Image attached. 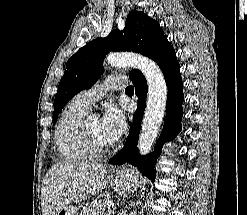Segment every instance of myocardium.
I'll use <instances>...</instances> for the list:
<instances>
[{"instance_id":"myocardium-1","label":"myocardium","mask_w":247,"mask_h":215,"mask_svg":"<svg viewBox=\"0 0 247 215\" xmlns=\"http://www.w3.org/2000/svg\"><path fill=\"white\" fill-rule=\"evenodd\" d=\"M80 133L86 149L92 156H102L110 151L112 144L103 145L96 141L86 126V122L80 125Z\"/></svg>"}]
</instances>
